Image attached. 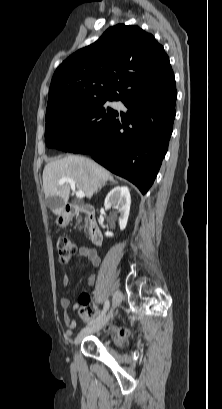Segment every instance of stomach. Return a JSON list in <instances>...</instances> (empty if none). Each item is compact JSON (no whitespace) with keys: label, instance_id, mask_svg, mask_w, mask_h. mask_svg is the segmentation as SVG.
<instances>
[{"label":"stomach","instance_id":"obj_1","mask_svg":"<svg viewBox=\"0 0 222 409\" xmlns=\"http://www.w3.org/2000/svg\"><path fill=\"white\" fill-rule=\"evenodd\" d=\"M70 220H71V215L63 210L62 212L58 214L57 219H56V224L59 227L64 228L69 224Z\"/></svg>","mask_w":222,"mask_h":409}]
</instances>
